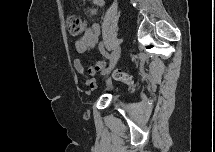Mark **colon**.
<instances>
[{"label":"colon","instance_id":"5ec220e1","mask_svg":"<svg viewBox=\"0 0 215 152\" xmlns=\"http://www.w3.org/2000/svg\"><path fill=\"white\" fill-rule=\"evenodd\" d=\"M84 27H85V21L83 18H81L79 16H75V15L68 17V30H69V33L73 37H77V36L81 35V33L84 30ZM104 69H105V65L103 62L92 61L89 64V66L87 67L86 71L89 74H95V73L104 71ZM113 77L115 80L123 82L127 85L133 84L132 78L128 74H126L120 70L114 71Z\"/></svg>","mask_w":215,"mask_h":152}]
</instances>
